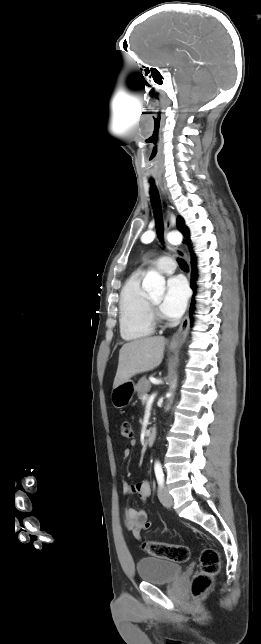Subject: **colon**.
Segmentation results:
<instances>
[{"instance_id": "obj_1", "label": "colon", "mask_w": 261, "mask_h": 644, "mask_svg": "<svg viewBox=\"0 0 261 644\" xmlns=\"http://www.w3.org/2000/svg\"><path fill=\"white\" fill-rule=\"evenodd\" d=\"M133 435L131 423L123 421L121 424V436L130 439ZM143 549L151 556L173 562L184 563L190 559V549L185 545L147 541L143 544ZM219 568V553L214 548H205L200 555L199 571L194 575L191 582L193 597H201L212 587Z\"/></svg>"}]
</instances>
